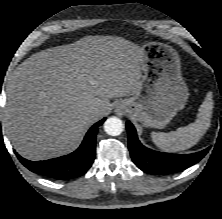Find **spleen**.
I'll return each mask as SVG.
<instances>
[{
	"instance_id": "obj_1",
	"label": "spleen",
	"mask_w": 222,
	"mask_h": 219,
	"mask_svg": "<svg viewBox=\"0 0 222 219\" xmlns=\"http://www.w3.org/2000/svg\"><path fill=\"white\" fill-rule=\"evenodd\" d=\"M212 110V93L209 92L199 108V113L194 123L168 133L152 132L153 142L157 147L167 152H179L192 147L210 127Z\"/></svg>"
}]
</instances>
